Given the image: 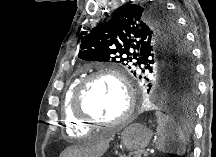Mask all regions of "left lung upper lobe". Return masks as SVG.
I'll use <instances>...</instances> for the list:
<instances>
[{
	"instance_id": "1",
	"label": "left lung upper lobe",
	"mask_w": 216,
	"mask_h": 157,
	"mask_svg": "<svg viewBox=\"0 0 216 157\" xmlns=\"http://www.w3.org/2000/svg\"><path fill=\"white\" fill-rule=\"evenodd\" d=\"M78 57L121 63L130 69L143 66L154 73L166 93L180 92L188 85L196 87L190 49L176 20L161 5L120 7L109 21L81 39ZM190 106L194 107V100Z\"/></svg>"
}]
</instances>
